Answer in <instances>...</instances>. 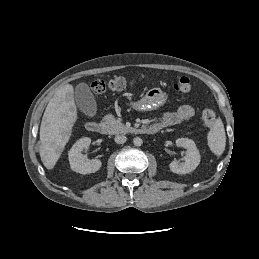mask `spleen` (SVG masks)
Wrapping results in <instances>:
<instances>
[{
  "mask_svg": "<svg viewBox=\"0 0 259 259\" xmlns=\"http://www.w3.org/2000/svg\"><path fill=\"white\" fill-rule=\"evenodd\" d=\"M210 150L217 156L222 155L226 145V135L223 122L217 118L207 136Z\"/></svg>",
  "mask_w": 259,
  "mask_h": 259,
  "instance_id": "1",
  "label": "spleen"
}]
</instances>
